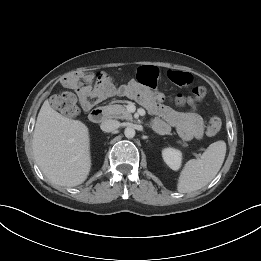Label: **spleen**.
<instances>
[{
  "label": "spleen",
  "mask_w": 261,
  "mask_h": 261,
  "mask_svg": "<svg viewBox=\"0 0 261 261\" xmlns=\"http://www.w3.org/2000/svg\"><path fill=\"white\" fill-rule=\"evenodd\" d=\"M225 154L226 143L220 140L210 144L200 158L186 162L178 178V192L190 193L210 183L219 172Z\"/></svg>",
  "instance_id": "3e777b00"
}]
</instances>
